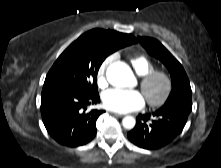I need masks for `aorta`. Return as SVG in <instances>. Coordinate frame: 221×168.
I'll list each match as a JSON object with an SVG mask.
<instances>
[{
    "mask_svg": "<svg viewBox=\"0 0 221 168\" xmlns=\"http://www.w3.org/2000/svg\"><path fill=\"white\" fill-rule=\"evenodd\" d=\"M106 77L109 83L116 87H127L133 80V72L128 64L122 61H117L109 65ZM135 118L126 116L122 120V125L125 129H132L135 126Z\"/></svg>",
    "mask_w": 221,
    "mask_h": 168,
    "instance_id": "1",
    "label": "aorta"
}]
</instances>
